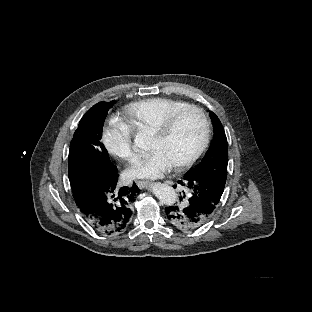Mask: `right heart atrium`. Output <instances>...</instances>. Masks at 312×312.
Instances as JSON below:
<instances>
[{
  "mask_svg": "<svg viewBox=\"0 0 312 312\" xmlns=\"http://www.w3.org/2000/svg\"><path fill=\"white\" fill-rule=\"evenodd\" d=\"M105 140L110 145V156L117 162L126 163L135 157V140L124 121H113L105 130Z\"/></svg>",
  "mask_w": 312,
  "mask_h": 312,
  "instance_id": "d8ad5b80",
  "label": "right heart atrium"
}]
</instances>
